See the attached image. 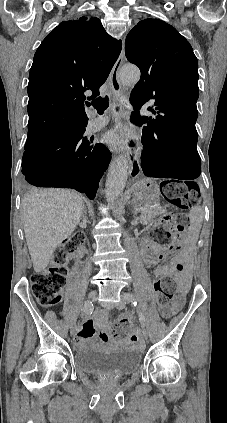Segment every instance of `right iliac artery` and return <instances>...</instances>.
Instances as JSON below:
<instances>
[{"label": "right iliac artery", "instance_id": "1", "mask_svg": "<svg viewBox=\"0 0 227 423\" xmlns=\"http://www.w3.org/2000/svg\"><path fill=\"white\" fill-rule=\"evenodd\" d=\"M83 311L86 314H92V311H93V304H92V302H90V301L85 302L84 303V306H83ZM76 330L79 332V331L82 330V327L81 326H78Z\"/></svg>", "mask_w": 227, "mask_h": 423}]
</instances>
